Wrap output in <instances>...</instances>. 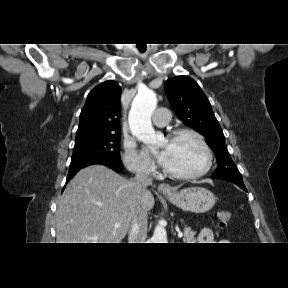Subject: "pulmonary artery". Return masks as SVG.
Wrapping results in <instances>:
<instances>
[{"mask_svg": "<svg viewBox=\"0 0 288 288\" xmlns=\"http://www.w3.org/2000/svg\"><path fill=\"white\" fill-rule=\"evenodd\" d=\"M170 112L165 108H158L153 117V123L157 127L165 126L170 120Z\"/></svg>", "mask_w": 288, "mask_h": 288, "instance_id": "1", "label": "pulmonary artery"}]
</instances>
